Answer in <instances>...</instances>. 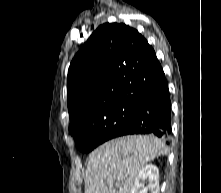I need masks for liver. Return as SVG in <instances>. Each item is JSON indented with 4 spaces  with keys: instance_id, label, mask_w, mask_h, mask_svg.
<instances>
[{
    "instance_id": "6515ba94",
    "label": "liver",
    "mask_w": 221,
    "mask_h": 193,
    "mask_svg": "<svg viewBox=\"0 0 221 193\" xmlns=\"http://www.w3.org/2000/svg\"><path fill=\"white\" fill-rule=\"evenodd\" d=\"M165 142L151 135H131L110 140L89 156L85 193H131L140 170L166 155Z\"/></svg>"
}]
</instances>
